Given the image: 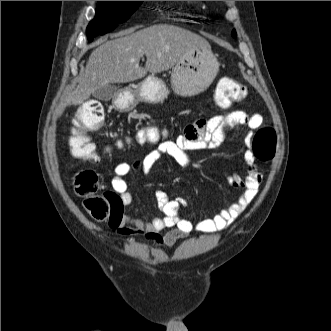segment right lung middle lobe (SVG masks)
Segmentation results:
<instances>
[{"label": "right lung middle lobe", "mask_w": 331, "mask_h": 331, "mask_svg": "<svg viewBox=\"0 0 331 331\" xmlns=\"http://www.w3.org/2000/svg\"><path fill=\"white\" fill-rule=\"evenodd\" d=\"M143 1H98L95 19L86 30L89 41L99 34L112 31L126 21Z\"/></svg>", "instance_id": "dd1d6c3e"}]
</instances>
